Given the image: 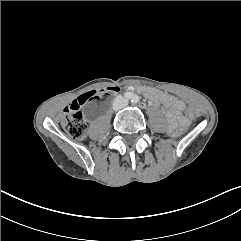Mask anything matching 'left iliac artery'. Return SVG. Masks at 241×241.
<instances>
[{"mask_svg":"<svg viewBox=\"0 0 241 241\" xmlns=\"http://www.w3.org/2000/svg\"><path fill=\"white\" fill-rule=\"evenodd\" d=\"M131 102L133 103V104H136V103H138L139 102V97L138 96H133L132 97V100H131Z\"/></svg>","mask_w":241,"mask_h":241,"instance_id":"1","label":"left iliac artery"}]
</instances>
